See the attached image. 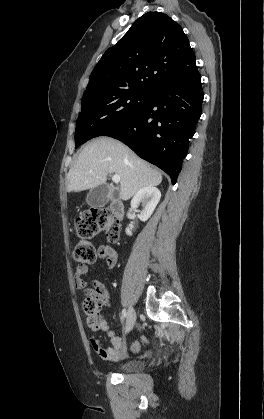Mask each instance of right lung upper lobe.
<instances>
[{
  "mask_svg": "<svg viewBox=\"0 0 264 419\" xmlns=\"http://www.w3.org/2000/svg\"><path fill=\"white\" fill-rule=\"evenodd\" d=\"M195 63L181 26L166 14L148 12L105 52L84 96L134 88L152 91L168 82L188 81L199 74Z\"/></svg>",
  "mask_w": 264,
  "mask_h": 419,
  "instance_id": "cb5924a9",
  "label": "right lung upper lobe"
}]
</instances>
